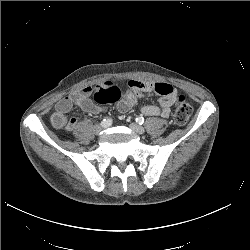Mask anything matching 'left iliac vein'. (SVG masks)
I'll return each instance as SVG.
<instances>
[{"label":"left iliac vein","mask_w":250,"mask_h":250,"mask_svg":"<svg viewBox=\"0 0 250 250\" xmlns=\"http://www.w3.org/2000/svg\"><path fill=\"white\" fill-rule=\"evenodd\" d=\"M129 126H130V128H131L134 132H136V133H138V134H144V133H145V129H144L142 126H140V125H138V124H136V123H131Z\"/></svg>","instance_id":"left-iliac-vein-1"}]
</instances>
